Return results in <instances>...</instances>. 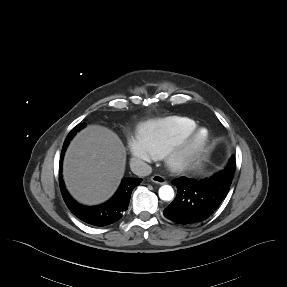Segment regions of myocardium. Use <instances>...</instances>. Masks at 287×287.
<instances>
[{"label":"myocardium","mask_w":287,"mask_h":287,"mask_svg":"<svg viewBox=\"0 0 287 287\" xmlns=\"http://www.w3.org/2000/svg\"><path fill=\"white\" fill-rule=\"evenodd\" d=\"M204 138L199 140L201 134ZM211 143V134L206 128L194 129L186 138L175 144L165 154V164L173 173H183L202 160Z\"/></svg>","instance_id":"myocardium-1"}]
</instances>
